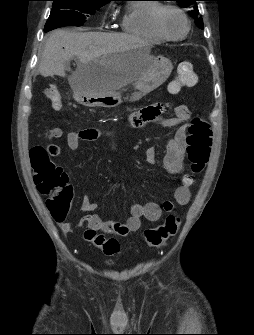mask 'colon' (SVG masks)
Here are the masks:
<instances>
[{
    "label": "colon",
    "mask_w": 254,
    "mask_h": 335,
    "mask_svg": "<svg viewBox=\"0 0 254 335\" xmlns=\"http://www.w3.org/2000/svg\"><path fill=\"white\" fill-rule=\"evenodd\" d=\"M196 82V76L191 62H181L176 68V77L170 85L171 92H177L180 88L188 87ZM52 108L61 110L62 97L59 90L49 87L45 91ZM187 155L191 171L199 174L210 158L212 147V130L209 124L201 119H192L186 137ZM58 148L48 150L43 146H35L30 149L29 158L34 174L35 185L38 191L49 198L46 201L51 214L66 215L73 194L68 186L66 172L54 164L50 156H56ZM180 217L170 214L163 223L144 231V242L148 247H157L175 236L180 226ZM85 238L96 247L103 250L106 255H114L119 251V242L115 238H105L102 234L88 229Z\"/></svg>",
    "instance_id": "colon-1"
}]
</instances>
